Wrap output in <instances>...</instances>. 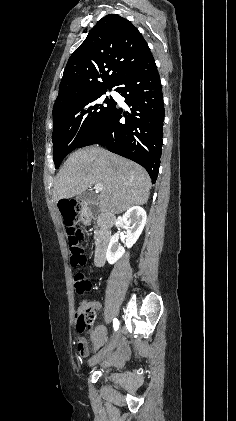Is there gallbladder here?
Here are the masks:
<instances>
[{"label":"gallbladder","instance_id":"1","mask_svg":"<svg viewBox=\"0 0 236 421\" xmlns=\"http://www.w3.org/2000/svg\"><path fill=\"white\" fill-rule=\"evenodd\" d=\"M76 198H79V200H87L88 194H87V192H79V194H77Z\"/></svg>","mask_w":236,"mask_h":421}]
</instances>
